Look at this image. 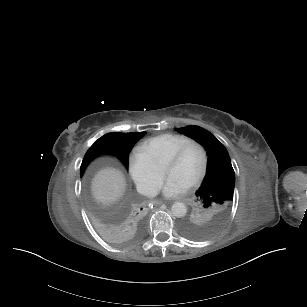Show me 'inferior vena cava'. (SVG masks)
<instances>
[{"instance_id": "602c4592", "label": "inferior vena cava", "mask_w": 307, "mask_h": 307, "mask_svg": "<svg viewBox=\"0 0 307 307\" xmlns=\"http://www.w3.org/2000/svg\"><path fill=\"white\" fill-rule=\"evenodd\" d=\"M137 191L147 197H154L157 194V189L151 186L138 185Z\"/></svg>"}]
</instances>
